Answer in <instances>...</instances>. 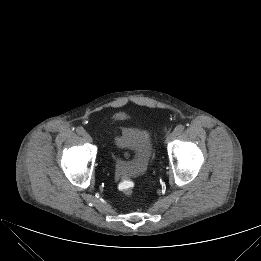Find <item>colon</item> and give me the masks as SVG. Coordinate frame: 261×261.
Listing matches in <instances>:
<instances>
[{"label":"colon","mask_w":261,"mask_h":261,"mask_svg":"<svg viewBox=\"0 0 261 261\" xmlns=\"http://www.w3.org/2000/svg\"><path fill=\"white\" fill-rule=\"evenodd\" d=\"M132 137L133 135L129 132L125 134L126 140ZM116 180L119 191L127 197L131 196L134 190V182L123 164H119L116 168Z\"/></svg>","instance_id":"5ec220e1"}]
</instances>
